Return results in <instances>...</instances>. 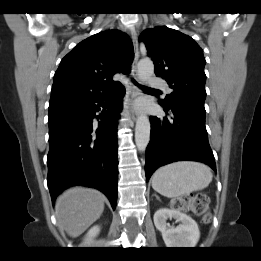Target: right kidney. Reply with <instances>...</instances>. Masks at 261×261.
Wrapping results in <instances>:
<instances>
[{
  "label": "right kidney",
  "mask_w": 261,
  "mask_h": 261,
  "mask_svg": "<svg viewBox=\"0 0 261 261\" xmlns=\"http://www.w3.org/2000/svg\"><path fill=\"white\" fill-rule=\"evenodd\" d=\"M99 231H100L99 226H94V227H92V228L88 231V233H87V235H86V238H85V241L89 243L95 236L98 235Z\"/></svg>",
  "instance_id": "ca27d5eb"
}]
</instances>
